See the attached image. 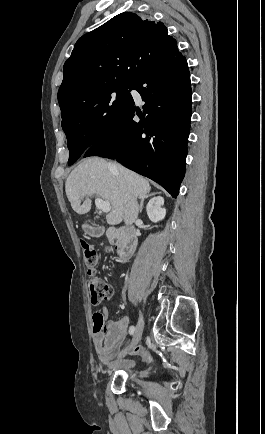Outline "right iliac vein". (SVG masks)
Segmentation results:
<instances>
[{
    "mask_svg": "<svg viewBox=\"0 0 265 434\" xmlns=\"http://www.w3.org/2000/svg\"><path fill=\"white\" fill-rule=\"evenodd\" d=\"M143 332V318L140 317L134 331L133 340L130 344V347L122 352H120L119 357L125 356L129 351H132L136 348L137 344L140 342Z\"/></svg>",
    "mask_w": 265,
    "mask_h": 434,
    "instance_id": "63e3f726",
    "label": "right iliac vein"
}]
</instances>
